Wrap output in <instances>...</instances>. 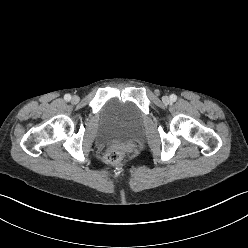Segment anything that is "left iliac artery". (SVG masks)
Wrapping results in <instances>:
<instances>
[{
    "instance_id": "1",
    "label": "left iliac artery",
    "mask_w": 248,
    "mask_h": 248,
    "mask_svg": "<svg viewBox=\"0 0 248 248\" xmlns=\"http://www.w3.org/2000/svg\"><path fill=\"white\" fill-rule=\"evenodd\" d=\"M170 100H171L172 102H175V101L177 100V96H176L175 94H171V95H170Z\"/></svg>"
}]
</instances>
